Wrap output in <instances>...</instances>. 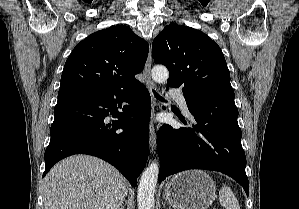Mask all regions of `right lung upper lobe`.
<instances>
[{"label":"right lung upper lobe","instance_id":"1","mask_svg":"<svg viewBox=\"0 0 299 209\" xmlns=\"http://www.w3.org/2000/svg\"><path fill=\"white\" fill-rule=\"evenodd\" d=\"M148 44L125 25L97 31L76 45L61 76L59 93L91 94L140 85Z\"/></svg>","mask_w":299,"mask_h":209}]
</instances>
